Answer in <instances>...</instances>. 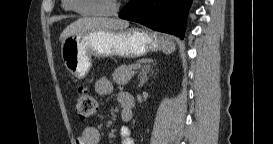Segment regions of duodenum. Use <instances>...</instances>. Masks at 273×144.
<instances>
[{"label":"duodenum","mask_w":273,"mask_h":144,"mask_svg":"<svg viewBox=\"0 0 273 144\" xmlns=\"http://www.w3.org/2000/svg\"><path fill=\"white\" fill-rule=\"evenodd\" d=\"M119 104L124 110L123 119L129 121L133 117V107L135 105L134 98L129 94H121L119 97Z\"/></svg>","instance_id":"duodenum-1"}]
</instances>
